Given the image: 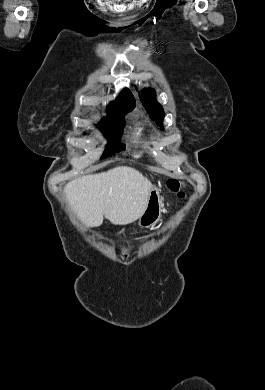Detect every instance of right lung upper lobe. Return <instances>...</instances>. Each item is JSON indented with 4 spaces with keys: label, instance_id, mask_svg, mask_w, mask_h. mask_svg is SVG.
Here are the masks:
<instances>
[{
    "label": "right lung upper lobe",
    "instance_id": "1",
    "mask_svg": "<svg viewBox=\"0 0 265 390\" xmlns=\"http://www.w3.org/2000/svg\"><path fill=\"white\" fill-rule=\"evenodd\" d=\"M134 107V97L129 90L124 89L117 99L110 103V107L107 110L108 117L114 119L121 118L127 111L132 110Z\"/></svg>",
    "mask_w": 265,
    "mask_h": 390
}]
</instances>
